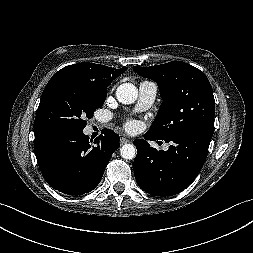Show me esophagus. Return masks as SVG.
I'll list each match as a JSON object with an SVG mask.
<instances>
[{"label":"esophagus","mask_w":253,"mask_h":253,"mask_svg":"<svg viewBox=\"0 0 253 253\" xmlns=\"http://www.w3.org/2000/svg\"><path fill=\"white\" fill-rule=\"evenodd\" d=\"M129 142H130V140H128L127 138L122 137V138L120 139L121 145L126 144V143H129Z\"/></svg>","instance_id":"34e87169"}]
</instances>
